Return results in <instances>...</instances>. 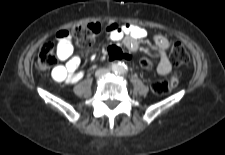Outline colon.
<instances>
[{
  "mask_svg": "<svg viewBox=\"0 0 225 155\" xmlns=\"http://www.w3.org/2000/svg\"><path fill=\"white\" fill-rule=\"evenodd\" d=\"M106 27V31H107ZM102 27L99 23H89L79 25L71 29V38H73L80 47H89L96 36L101 32ZM106 52L113 60L126 58L127 55L121 51L118 46L111 43L107 46ZM170 57L174 65H181L189 60V55L185 47L180 42H174L171 47ZM57 61L55 43L48 40L42 44L39 49L36 66L40 71H46L55 65ZM140 66L145 70H150L154 66V61L150 57H142ZM179 73L175 72L169 79L155 81L152 90L157 95L168 94L179 81Z\"/></svg>",
  "mask_w": 225,
  "mask_h": 155,
  "instance_id": "colon-1",
  "label": "colon"
}]
</instances>
